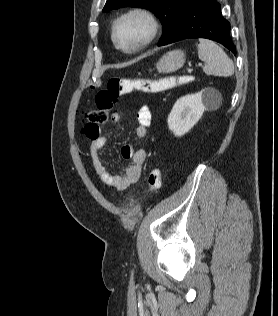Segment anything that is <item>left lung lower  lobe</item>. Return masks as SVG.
<instances>
[{
	"instance_id": "0a47b994",
	"label": "left lung lower lobe",
	"mask_w": 278,
	"mask_h": 316,
	"mask_svg": "<svg viewBox=\"0 0 278 316\" xmlns=\"http://www.w3.org/2000/svg\"><path fill=\"white\" fill-rule=\"evenodd\" d=\"M191 38L217 41L236 54L230 38V24L222 17L220 5L215 0H188L172 34L161 45Z\"/></svg>"
}]
</instances>
